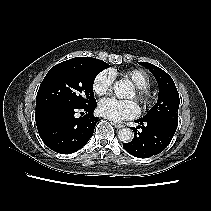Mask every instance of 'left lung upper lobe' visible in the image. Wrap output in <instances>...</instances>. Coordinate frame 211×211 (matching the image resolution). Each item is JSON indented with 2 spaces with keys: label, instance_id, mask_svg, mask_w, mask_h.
Here are the masks:
<instances>
[{
  "label": "left lung upper lobe",
  "instance_id": "obj_1",
  "mask_svg": "<svg viewBox=\"0 0 211 211\" xmlns=\"http://www.w3.org/2000/svg\"><path fill=\"white\" fill-rule=\"evenodd\" d=\"M139 64L149 69L159 86L158 101L143 119L161 120L177 127L180 99L174 81L164 70L151 63Z\"/></svg>",
  "mask_w": 211,
  "mask_h": 211
}]
</instances>
